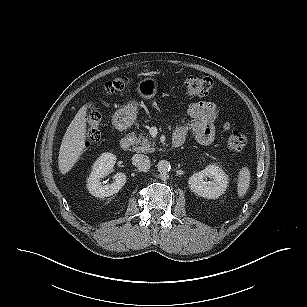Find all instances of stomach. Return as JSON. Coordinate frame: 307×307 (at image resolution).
<instances>
[{"label":"stomach","mask_w":307,"mask_h":307,"mask_svg":"<svg viewBox=\"0 0 307 307\" xmlns=\"http://www.w3.org/2000/svg\"><path fill=\"white\" fill-rule=\"evenodd\" d=\"M158 83L154 78L147 77L138 82L137 92L144 99H151L157 93ZM138 104L135 101L128 102L125 106L118 109L113 115V124L119 129L130 127L136 120Z\"/></svg>","instance_id":"stomach-1"}]
</instances>
